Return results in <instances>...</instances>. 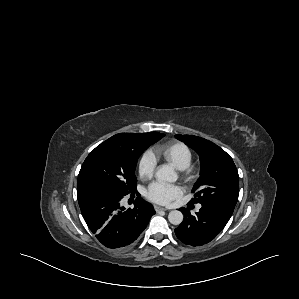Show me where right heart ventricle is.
Returning a JSON list of instances; mask_svg holds the SVG:
<instances>
[{"label": "right heart ventricle", "instance_id": "right-heart-ventricle-1", "mask_svg": "<svg viewBox=\"0 0 299 299\" xmlns=\"http://www.w3.org/2000/svg\"><path fill=\"white\" fill-rule=\"evenodd\" d=\"M157 152L165 161L179 170L188 167L192 161V151L183 142L174 141L163 144Z\"/></svg>", "mask_w": 299, "mask_h": 299}]
</instances>
